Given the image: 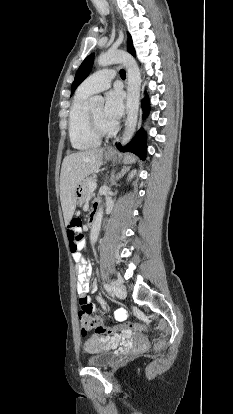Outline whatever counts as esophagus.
I'll return each instance as SVG.
<instances>
[{
  "instance_id": "34e87169",
  "label": "esophagus",
  "mask_w": 233,
  "mask_h": 414,
  "mask_svg": "<svg viewBox=\"0 0 233 414\" xmlns=\"http://www.w3.org/2000/svg\"><path fill=\"white\" fill-rule=\"evenodd\" d=\"M108 153H112V150H111V149H109V150H108Z\"/></svg>"
}]
</instances>
